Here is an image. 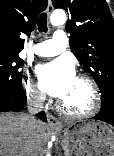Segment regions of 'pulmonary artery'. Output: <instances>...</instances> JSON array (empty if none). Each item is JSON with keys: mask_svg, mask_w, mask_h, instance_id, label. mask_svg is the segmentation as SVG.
<instances>
[{"mask_svg": "<svg viewBox=\"0 0 114 156\" xmlns=\"http://www.w3.org/2000/svg\"><path fill=\"white\" fill-rule=\"evenodd\" d=\"M68 39L64 31L57 30L53 37L36 44L32 52L37 56L52 57L62 53L67 46Z\"/></svg>", "mask_w": 114, "mask_h": 156, "instance_id": "e3ab8cb5", "label": "pulmonary artery"}]
</instances>
